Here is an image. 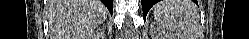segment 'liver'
I'll list each match as a JSON object with an SVG mask.
<instances>
[{"label": "liver", "instance_id": "liver-1", "mask_svg": "<svg viewBox=\"0 0 249 39\" xmlns=\"http://www.w3.org/2000/svg\"><path fill=\"white\" fill-rule=\"evenodd\" d=\"M48 11L52 26L71 39H87L107 18L99 0H50Z\"/></svg>", "mask_w": 249, "mask_h": 39}]
</instances>
